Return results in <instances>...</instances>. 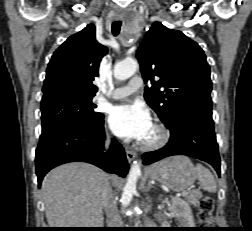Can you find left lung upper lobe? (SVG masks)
Wrapping results in <instances>:
<instances>
[{"label": "left lung upper lobe", "mask_w": 252, "mask_h": 231, "mask_svg": "<svg viewBox=\"0 0 252 231\" xmlns=\"http://www.w3.org/2000/svg\"><path fill=\"white\" fill-rule=\"evenodd\" d=\"M136 56L144 81L152 84L144 97L163 123L186 107L212 109L210 67L195 41L155 22Z\"/></svg>", "instance_id": "5c2ea615"}]
</instances>
